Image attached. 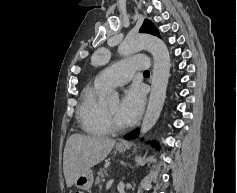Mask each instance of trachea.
Segmentation results:
<instances>
[{"mask_svg": "<svg viewBox=\"0 0 237 193\" xmlns=\"http://www.w3.org/2000/svg\"><path fill=\"white\" fill-rule=\"evenodd\" d=\"M143 74L149 75L150 72H149V70H145V71L143 72Z\"/></svg>", "mask_w": 237, "mask_h": 193, "instance_id": "1", "label": "trachea"}]
</instances>
